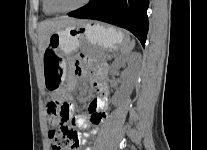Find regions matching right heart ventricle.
Segmentation results:
<instances>
[{
	"label": "right heart ventricle",
	"mask_w": 207,
	"mask_h": 150,
	"mask_svg": "<svg viewBox=\"0 0 207 150\" xmlns=\"http://www.w3.org/2000/svg\"><path fill=\"white\" fill-rule=\"evenodd\" d=\"M42 6H43V11L45 14H47V15H54L55 14V12L50 9L47 0H42Z\"/></svg>",
	"instance_id": "obj_1"
}]
</instances>
